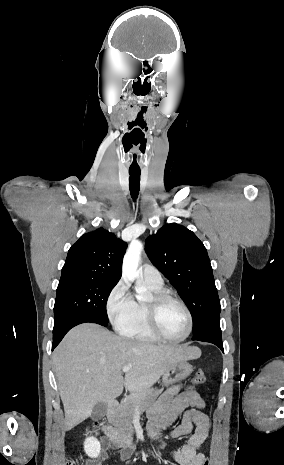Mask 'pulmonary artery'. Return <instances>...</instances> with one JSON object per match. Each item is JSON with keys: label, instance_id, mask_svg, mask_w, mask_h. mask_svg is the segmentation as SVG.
Masks as SVG:
<instances>
[{"label": "pulmonary artery", "instance_id": "e3ab8cb5", "mask_svg": "<svg viewBox=\"0 0 284 465\" xmlns=\"http://www.w3.org/2000/svg\"><path fill=\"white\" fill-rule=\"evenodd\" d=\"M141 277L147 284L161 285L163 279L160 272L153 266L143 265L141 268Z\"/></svg>", "mask_w": 284, "mask_h": 465}]
</instances>
